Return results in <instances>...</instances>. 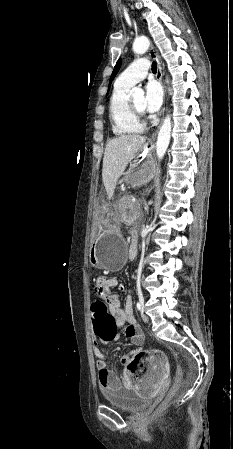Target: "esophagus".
Wrapping results in <instances>:
<instances>
[{
	"label": "esophagus",
	"mask_w": 233,
	"mask_h": 449,
	"mask_svg": "<svg viewBox=\"0 0 233 449\" xmlns=\"http://www.w3.org/2000/svg\"><path fill=\"white\" fill-rule=\"evenodd\" d=\"M149 52H150L151 58L154 59V60L156 61V63H157V79H158V81L160 82V84L162 85V84H163V82H162V75H163V74H162L161 62H160V60H159V58H158V55L156 54V52L154 51L153 48H150ZM161 122H162V121H161ZM160 125H161V123H160ZM160 125L158 126V128L160 127ZM156 133H157V130H156L155 133L153 134L152 140H150V142L153 141V139H154L155 136H156Z\"/></svg>",
	"instance_id": "1"
}]
</instances>
